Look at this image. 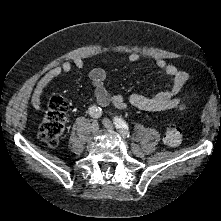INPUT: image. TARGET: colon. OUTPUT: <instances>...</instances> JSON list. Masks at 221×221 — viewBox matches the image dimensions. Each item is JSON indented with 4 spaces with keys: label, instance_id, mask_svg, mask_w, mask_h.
Returning a JSON list of instances; mask_svg holds the SVG:
<instances>
[{
    "label": "colon",
    "instance_id": "colon-1",
    "mask_svg": "<svg viewBox=\"0 0 221 221\" xmlns=\"http://www.w3.org/2000/svg\"><path fill=\"white\" fill-rule=\"evenodd\" d=\"M182 108V107H181ZM67 120V104L60 96L50 98L42 123L38 130V138L48 147L54 148L61 140ZM183 137L182 129L175 123L168 125L164 141L167 145L178 146Z\"/></svg>",
    "mask_w": 221,
    "mask_h": 221
}]
</instances>
